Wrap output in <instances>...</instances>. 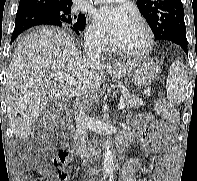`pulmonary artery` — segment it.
<instances>
[{
  "mask_svg": "<svg viewBox=\"0 0 197 181\" xmlns=\"http://www.w3.org/2000/svg\"><path fill=\"white\" fill-rule=\"evenodd\" d=\"M90 1L99 2V3H107V2H121L124 0H90Z\"/></svg>",
  "mask_w": 197,
  "mask_h": 181,
  "instance_id": "e3ab8cb5",
  "label": "pulmonary artery"
}]
</instances>
